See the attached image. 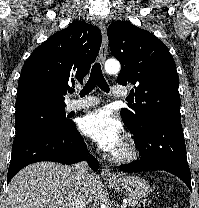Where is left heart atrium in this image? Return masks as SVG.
<instances>
[{
  "mask_svg": "<svg viewBox=\"0 0 199 208\" xmlns=\"http://www.w3.org/2000/svg\"><path fill=\"white\" fill-rule=\"evenodd\" d=\"M79 129L107 153H113L122 143V125L106 109H97L84 115L80 119Z\"/></svg>",
  "mask_w": 199,
  "mask_h": 208,
  "instance_id": "obj_1",
  "label": "left heart atrium"
}]
</instances>
